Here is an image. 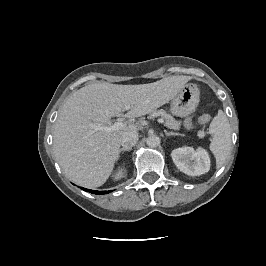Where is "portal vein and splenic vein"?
<instances>
[{"mask_svg": "<svg viewBox=\"0 0 266 266\" xmlns=\"http://www.w3.org/2000/svg\"><path fill=\"white\" fill-rule=\"evenodd\" d=\"M130 109V105H126L125 106V110H129ZM159 123L164 124V121L162 119H158ZM126 126V123L123 122L122 119L117 120L114 124L112 125H108V126H98L97 129L98 130H103L106 131L107 133L122 129Z\"/></svg>", "mask_w": 266, "mask_h": 266, "instance_id": "18ae733b", "label": "portal vein and splenic vein"}]
</instances>
